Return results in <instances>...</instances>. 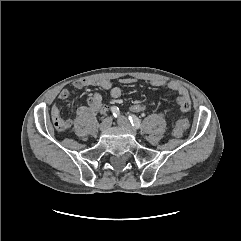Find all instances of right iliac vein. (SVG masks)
<instances>
[{
    "label": "right iliac vein",
    "mask_w": 241,
    "mask_h": 241,
    "mask_svg": "<svg viewBox=\"0 0 241 241\" xmlns=\"http://www.w3.org/2000/svg\"><path fill=\"white\" fill-rule=\"evenodd\" d=\"M111 123H112V119L110 117L105 118L99 126L100 130L101 131L107 130L111 126Z\"/></svg>",
    "instance_id": "obj_1"
}]
</instances>
